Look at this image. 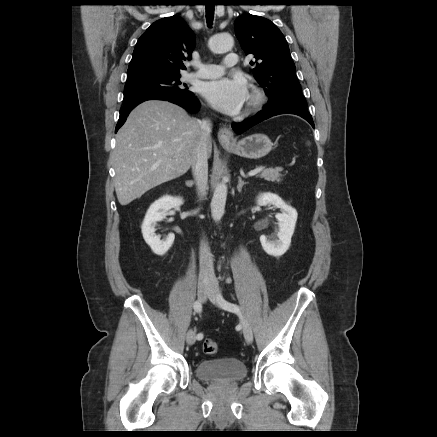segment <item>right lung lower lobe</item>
<instances>
[{
  "label": "right lung lower lobe",
  "mask_w": 437,
  "mask_h": 437,
  "mask_svg": "<svg viewBox=\"0 0 437 437\" xmlns=\"http://www.w3.org/2000/svg\"><path fill=\"white\" fill-rule=\"evenodd\" d=\"M146 100H165L177 104L183 108H185L189 112H196L200 107V103L194 94H157L146 96L128 103H125L123 107L120 109L119 121L116 125L115 132L119 130V128L124 124L128 114L130 111Z\"/></svg>",
  "instance_id": "1"
}]
</instances>
